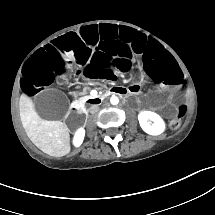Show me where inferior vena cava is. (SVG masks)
<instances>
[{"label": "inferior vena cava", "mask_w": 215, "mask_h": 215, "mask_svg": "<svg viewBox=\"0 0 215 215\" xmlns=\"http://www.w3.org/2000/svg\"><path fill=\"white\" fill-rule=\"evenodd\" d=\"M99 110V106L98 105H92L90 107V112L91 113H96Z\"/></svg>", "instance_id": "602c4592"}]
</instances>
